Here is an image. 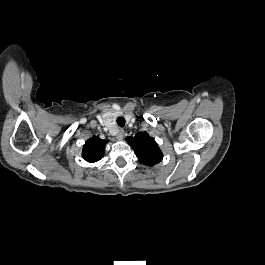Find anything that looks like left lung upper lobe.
I'll list each match as a JSON object with an SVG mask.
<instances>
[{
  "instance_id": "5c2ea615",
  "label": "left lung upper lobe",
  "mask_w": 265,
  "mask_h": 265,
  "mask_svg": "<svg viewBox=\"0 0 265 265\" xmlns=\"http://www.w3.org/2000/svg\"><path fill=\"white\" fill-rule=\"evenodd\" d=\"M126 141L133 148L139 161L144 165L153 166L163 158L157 143L147 132H139L134 137H127Z\"/></svg>"
}]
</instances>
